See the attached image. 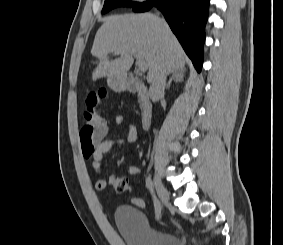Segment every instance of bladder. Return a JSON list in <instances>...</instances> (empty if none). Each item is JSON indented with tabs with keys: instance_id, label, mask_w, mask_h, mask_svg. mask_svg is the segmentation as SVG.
Instances as JSON below:
<instances>
[{
	"instance_id": "obj_1",
	"label": "bladder",
	"mask_w": 283,
	"mask_h": 245,
	"mask_svg": "<svg viewBox=\"0 0 283 245\" xmlns=\"http://www.w3.org/2000/svg\"><path fill=\"white\" fill-rule=\"evenodd\" d=\"M115 222L126 245H184L177 235L151 226L145 214L134 206L119 205Z\"/></svg>"
}]
</instances>
